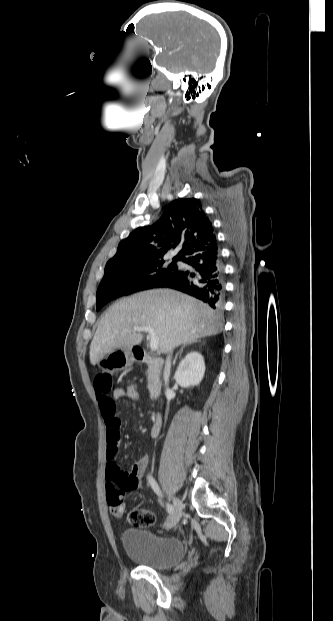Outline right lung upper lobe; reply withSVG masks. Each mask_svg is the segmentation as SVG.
Segmentation results:
<instances>
[{"instance_id":"1","label":"right lung upper lobe","mask_w":333,"mask_h":621,"mask_svg":"<svg viewBox=\"0 0 333 621\" xmlns=\"http://www.w3.org/2000/svg\"><path fill=\"white\" fill-rule=\"evenodd\" d=\"M214 244L216 237L200 201L182 198L172 201L156 223L139 227L122 240L106 265L162 258L178 245L183 248L175 257L182 259Z\"/></svg>"}]
</instances>
